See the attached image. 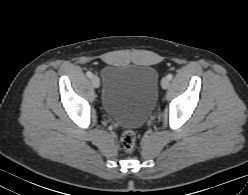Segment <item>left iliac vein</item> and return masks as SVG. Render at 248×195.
Segmentation results:
<instances>
[{"label":"left iliac vein","instance_id":"4c4485c4","mask_svg":"<svg viewBox=\"0 0 248 195\" xmlns=\"http://www.w3.org/2000/svg\"><path fill=\"white\" fill-rule=\"evenodd\" d=\"M161 86H162L163 89L168 88V86H169V79L167 77H164L161 80Z\"/></svg>","mask_w":248,"mask_h":195}]
</instances>
